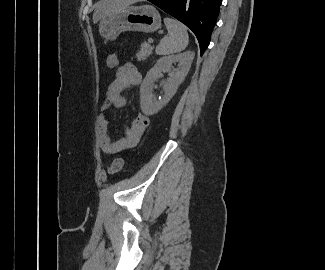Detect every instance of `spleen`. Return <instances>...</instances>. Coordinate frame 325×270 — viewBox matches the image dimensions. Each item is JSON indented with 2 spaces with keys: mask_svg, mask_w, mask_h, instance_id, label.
Returning <instances> with one entry per match:
<instances>
[{
  "mask_svg": "<svg viewBox=\"0 0 325 270\" xmlns=\"http://www.w3.org/2000/svg\"><path fill=\"white\" fill-rule=\"evenodd\" d=\"M169 36L164 37L156 47V54L170 55L183 51L189 41L187 29L184 25L171 18H164Z\"/></svg>",
  "mask_w": 325,
  "mask_h": 270,
  "instance_id": "obj_1",
  "label": "spleen"
}]
</instances>
